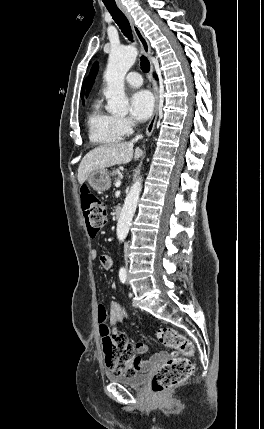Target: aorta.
Wrapping results in <instances>:
<instances>
[{
  "mask_svg": "<svg viewBox=\"0 0 264 429\" xmlns=\"http://www.w3.org/2000/svg\"><path fill=\"white\" fill-rule=\"evenodd\" d=\"M136 57L137 50L134 46L115 47L109 54L107 68L104 73L107 84L104 95L107 99V110L111 113L124 114L127 111L129 101L124 92V78L135 63ZM141 190L142 178H139L132 185L126 196L117 223V238L121 242L128 235Z\"/></svg>",
  "mask_w": 264,
  "mask_h": 429,
  "instance_id": "1",
  "label": "aorta"
}]
</instances>
